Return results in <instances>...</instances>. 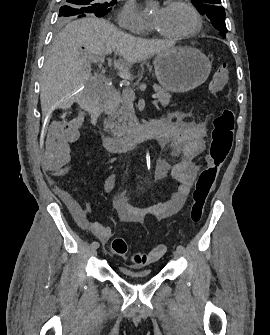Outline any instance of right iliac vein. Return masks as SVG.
Returning a JSON list of instances; mask_svg holds the SVG:
<instances>
[{"label": "right iliac vein", "mask_w": 270, "mask_h": 335, "mask_svg": "<svg viewBox=\"0 0 270 335\" xmlns=\"http://www.w3.org/2000/svg\"><path fill=\"white\" fill-rule=\"evenodd\" d=\"M91 255L96 256L97 255V248L91 247Z\"/></svg>", "instance_id": "1"}]
</instances>
